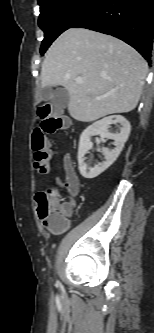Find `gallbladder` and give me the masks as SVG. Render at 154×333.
Segmentation results:
<instances>
[{
  "mask_svg": "<svg viewBox=\"0 0 154 333\" xmlns=\"http://www.w3.org/2000/svg\"><path fill=\"white\" fill-rule=\"evenodd\" d=\"M39 97L43 101L50 100L54 107L64 109L69 103V93L65 88L42 87L39 91Z\"/></svg>",
  "mask_w": 154,
  "mask_h": 333,
  "instance_id": "1",
  "label": "gallbladder"
}]
</instances>
